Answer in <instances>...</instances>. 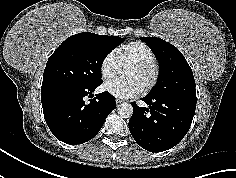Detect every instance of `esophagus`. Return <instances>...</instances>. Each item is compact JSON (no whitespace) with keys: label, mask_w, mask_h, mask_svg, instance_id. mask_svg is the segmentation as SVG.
Wrapping results in <instances>:
<instances>
[{"label":"esophagus","mask_w":236,"mask_h":178,"mask_svg":"<svg viewBox=\"0 0 236 178\" xmlns=\"http://www.w3.org/2000/svg\"><path fill=\"white\" fill-rule=\"evenodd\" d=\"M122 102H123L122 100L116 99V103H117V104H120V103H122Z\"/></svg>","instance_id":"obj_1"}]
</instances>
